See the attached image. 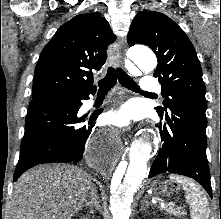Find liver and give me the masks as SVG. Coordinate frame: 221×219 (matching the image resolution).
<instances>
[{
    "mask_svg": "<svg viewBox=\"0 0 221 219\" xmlns=\"http://www.w3.org/2000/svg\"><path fill=\"white\" fill-rule=\"evenodd\" d=\"M92 189L91 176L66 164L41 165L14 184L10 219H71L82 210Z\"/></svg>",
    "mask_w": 221,
    "mask_h": 219,
    "instance_id": "liver-1",
    "label": "liver"
}]
</instances>
